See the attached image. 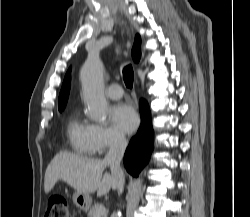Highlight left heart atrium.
<instances>
[{"instance_id":"obj_1","label":"left heart atrium","mask_w":250,"mask_h":217,"mask_svg":"<svg viewBox=\"0 0 250 217\" xmlns=\"http://www.w3.org/2000/svg\"><path fill=\"white\" fill-rule=\"evenodd\" d=\"M110 118L117 129L125 133L133 132L138 125L135 110L126 103H119L110 110Z\"/></svg>"}]
</instances>
